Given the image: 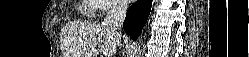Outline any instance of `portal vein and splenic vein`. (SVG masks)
<instances>
[{
	"instance_id": "18ae733b",
	"label": "portal vein and splenic vein",
	"mask_w": 249,
	"mask_h": 57,
	"mask_svg": "<svg viewBox=\"0 0 249 57\" xmlns=\"http://www.w3.org/2000/svg\"><path fill=\"white\" fill-rule=\"evenodd\" d=\"M94 53L98 54V52H96V51H95ZM90 56H91V55H90Z\"/></svg>"
}]
</instances>
